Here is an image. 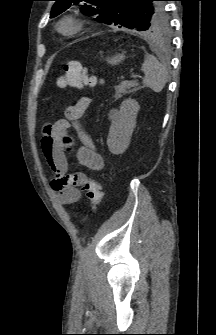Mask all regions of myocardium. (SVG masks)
I'll return each mask as SVG.
<instances>
[{
	"mask_svg": "<svg viewBox=\"0 0 216 335\" xmlns=\"http://www.w3.org/2000/svg\"><path fill=\"white\" fill-rule=\"evenodd\" d=\"M56 29L64 36H73L83 29V22L73 14H67L59 19Z\"/></svg>",
	"mask_w": 216,
	"mask_h": 335,
	"instance_id": "obj_1",
	"label": "myocardium"
}]
</instances>
